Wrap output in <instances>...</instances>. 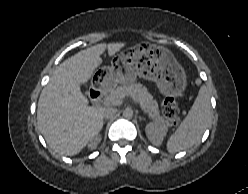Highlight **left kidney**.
Wrapping results in <instances>:
<instances>
[{"label": "left kidney", "instance_id": "left-kidney-1", "mask_svg": "<svg viewBox=\"0 0 248 194\" xmlns=\"http://www.w3.org/2000/svg\"><path fill=\"white\" fill-rule=\"evenodd\" d=\"M145 131L150 142L155 146H159L162 144L168 128L163 123L150 122L146 125Z\"/></svg>", "mask_w": 248, "mask_h": 194}]
</instances>
